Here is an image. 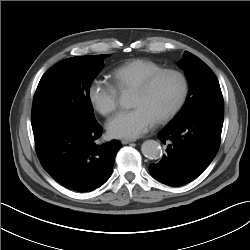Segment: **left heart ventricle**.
<instances>
[{
	"label": "left heart ventricle",
	"instance_id": "left-heart-ventricle-1",
	"mask_svg": "<svg viewBox=\"0 0 250 250\" xmlns=\"http://www.w3.org/2000/svg\"><path fill=\"white\" fill-rule=\"evenodd\" d=\"M180 91V80L173 75H164L147 93L134 91L132 107H144L157 120L174 105Z\"/></svg>",
	"mask_w": 250,
	"mask_h": 250
}]
</instances>
